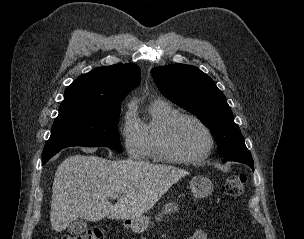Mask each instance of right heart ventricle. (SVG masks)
I'll use <instances>...</instances> for the list:
<instances>
[{
  "mask_svg": "<svg viewBox=\"0 0 304 239\" xmlns=\"http://www.w3.org/2000/svg\"><path fill=\"white\" fill-rule=\"evenodd\" d=\"M148 113V120L141 123L144 140L143 156L152 161L166 162L159 146L160 136L165 124L179 112L169 102L158 99L150 103Z\"/></svg>",
  "mask_w": 304,
  "mask_h": 239,
  "instance_id": "right-heart-ventricle-1",
  "label": "right heart ventricle"
}]
</instances>
